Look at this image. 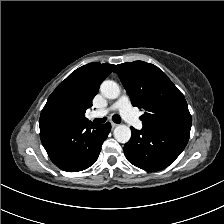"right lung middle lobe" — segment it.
Segmentation results:
<instances>
[{"mask_svg": "<svg viewBox=\"0 0 224 224\" xmlns=\"http://www.w3.org/2000/svg\"><path fill=\"white\" fill-rule=\"evenodd\" d=\"M40 117H53L67 121H75L71 107L63 100L47 102Z\"/></svg>", "mask_w": 224, "mask_h": 224, "instance_id": "dd1d6c3e", "label": "right lung middle lobe"}]
</instances>
